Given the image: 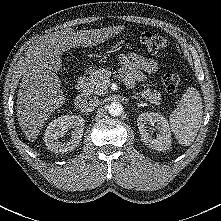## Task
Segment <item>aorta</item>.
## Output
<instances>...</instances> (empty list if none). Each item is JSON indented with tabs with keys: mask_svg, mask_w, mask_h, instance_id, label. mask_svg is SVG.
<instances>
[{
	"mask_svg": "<svg viewBox=\"0 0 221 221\" xmlns=\"http://www.w3.org/2000/svg\"><path fill=\"white\" fill-rule=\"evenodd\" d=\"M108 111L111 116H120L123 112V106L118 102H113L108 106Z\"/></svg>",
	"mask_w": 221,
	"mask_h": 221,
	"instance_id": "obj_1",
	"label": "aorta"
}]
</instances>
